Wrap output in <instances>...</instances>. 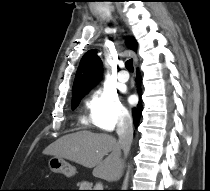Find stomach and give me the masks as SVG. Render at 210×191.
<instances>
[{
  "mask_svg": "<svg viewBox=\"0 0 210 191\" xmlns=\"http://www.w3.org/2000/svg\"><path fill=\"white\" fill-rule=\"evenodd\" d=\"M48 165L52 172L64 174L66 177H72L76 173L75 167L70 165L63 158H58L54 156L50 158Z\"/></svg>",
  "mask_w": 210,
  "mask_h": 191,
  "instance_id": "obj_1",
  "label": "stomach"
}]
</instances>
